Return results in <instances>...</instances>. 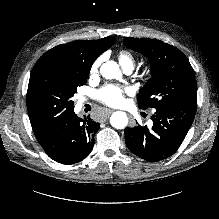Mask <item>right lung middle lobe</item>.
Returning <instances> with one entry per match:
<instances>
[{
  "instance_id": "1",
  "label": "right lung middle lobe",
  "mask_w": 219,
  "mask_h": 219,
  "mask_svg": "<svg viewBox=\"0 0 219 219\" xmlns=\"http://www.w3.org/2000/svg\"><path fill=\"white\" fill-rule=\"evenodd\" d=\"M88 75L69 71L52 61L36 64L27 91L31 125L41 126L63 112L73 110L71 98L78 86L86 84Z\"/></svg>"
}]
</instances>
